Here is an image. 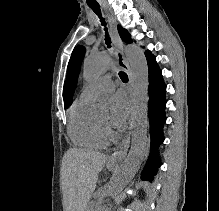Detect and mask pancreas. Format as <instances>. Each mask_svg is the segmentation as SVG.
<instances>
[{"label": "pancreas", "mask_w": 219, "mask_h": 211, "mask_svg": "<svg viewBox=\"0 0 219 211\" xmlns=\"http://www.w3.org/2000/svg\"><path fill=\"white\" fill-rule=\"evenodd\" d=\"M97 205H99V200H89L86 204L87 211H96Z\"/></svg>", "instance_id": "pancreas-1"}]
</instances>
